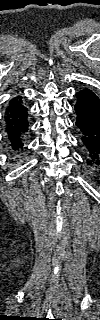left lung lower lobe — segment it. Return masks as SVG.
Listing matches in <instances>:
<instances>
[{
    "mask_svg": "<svg viewBox=\"0 0 100 320\" xmlns=\"http://www.w3.org/2000/svg\"><path fill=\"white\" fill-rule=\"evenodd\" d=\"M76 126L87 151V161L92 167L100 164V100L89 89L76 93Z\"/></svg>",
    "mask_w": 100,
    "mask_h": 320,
    "instance_id": "1",
    "label": "left lung lower lobe"
}]
</instances>
